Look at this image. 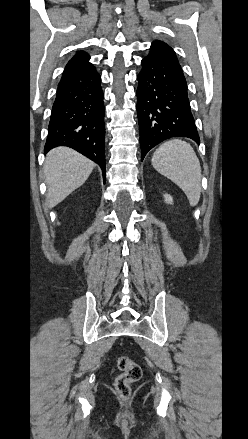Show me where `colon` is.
Here are the masks:
<instances>
[{
	"label": "colon",
	"mask_w": 248,
	"mask_h": 439,
	"mask_svg": "<svg viewBox=\"0 0 248 439\" xmlns=\"http://www.w3.org/2000/svg\"><path fill=\"white\" fill-rule=\"evenodd\" d=\"M117 367L121 373L115 381V388L121 399H128L131 394V385L137 382L142 376V369L126 356H119L116 360Z\"/></svg>",
	"instance_id": "5ec220e1"
}]
</instances>
